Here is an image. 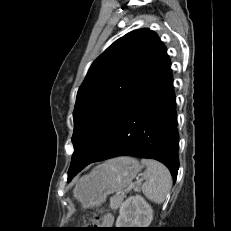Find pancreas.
<instances>
[{
	"label": "pancreas",
	"mask_w": 231,
	"mask_h": 231,
	"mask_svg": "<svg viewBox=\"0 0 231 231\" xmlns=\"http://www.w3.org/2000/svg\"><path fill=\"white\" fill-rule=\"evenodd\" d=\"M124 197V195L113 196L110 199V208L114 211L117 210L122 205Z\"/></svg>",
	"instance_id": "obj_1"
}]
</instances>
